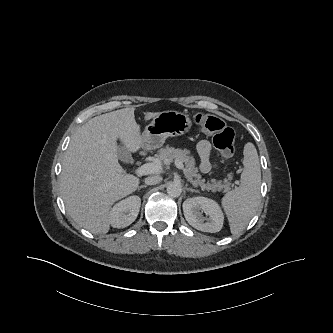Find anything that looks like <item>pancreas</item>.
Listing matches in <instances>:
<instances>
[{
  "instance_id": "pancreas-1",
  "label": "pancreas",
  "mask_w": 333,
  "mask_h": 333,
  "mask_svg": "<svg viewBox=\"0 0 333 333\" xmlns=\"http://www.w3.org/2000/svg\"><path fill=\"white\" fill-rule=\"evenodd\" d=\"M156 159L160 160L164 164H170L174 160H179L185 164L183 169L184 174L188 181L192 183L193 186H199L202 190L207 191H229L231 189L230 178L224 179V181L211 179L209 182H205L199 174L198 168L195 166V159L190 156V151L187 149H180L166 146L161 148L159 153L156 155Z\"/></svg>"
}]
</instances>
